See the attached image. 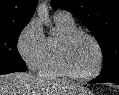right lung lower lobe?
Returning a JSON list of instances; mask_svg holds the SVG:
<instances>
[{"label": "right lung lower lobe", "mask_w": 119, "mask_h": 95, "mask_svg": "<svg viewBox=\"0 0 119 95\" xmlns=\"http://www.w3.org/2000/svg\"><path fill=\"white\" fill-rule=\"evenodd\" d=\"M22 71H23L22 69H18V68L0 66V75L12 73V72H22Z\"/></svg>", "instance_id": "1"}]
</instances>
